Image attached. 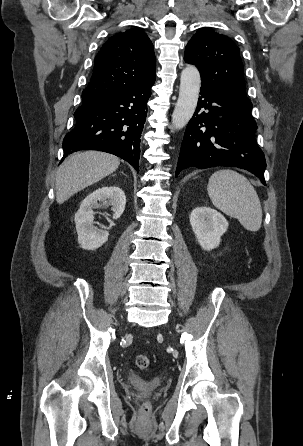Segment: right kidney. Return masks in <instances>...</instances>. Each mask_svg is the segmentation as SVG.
Listing matches in <instances>:
<instances>
[{
	"label": "right kidney",
	"instance_id": "1",
	"mask_svg": "<svg viewBox=\"0 0 303 446\" xmlns=\"http://www.w3.org/2000/svg\"><path fill=\"white\" fill-rule=\"evenodd\" d=\"M112 206L113 219L119 218L125 209L126 197L123 190L117 186L101 187L89 194L81 203L75 214L74 221L78 234V243L85 250H95L108 239V231L100 230L93 225L94 211L99 203Z\"/></svg>",
	"mask_w": 303,
	"mask_h": 446
}]
</instances>
